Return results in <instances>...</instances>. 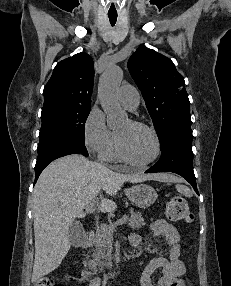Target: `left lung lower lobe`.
<instances>
[{"label": "left lung lower lobe", "mask_w": 231, "mask_h": 286, "mask_svg": "<svg viewBox=\"0 0 231 286\" xmlns=\"http://www.w3.org/2000/svg\"><path fill=\"white\" fill-rule=\"evenodd\" d=\"M162 155L145 173L173 172L185 178L198 194L193 171L191 126H174L159 138Z\"/></svg>", "instance_id": "left-lung-lower-lobe-1"}]
</instances>
